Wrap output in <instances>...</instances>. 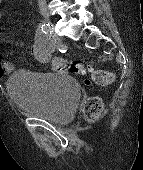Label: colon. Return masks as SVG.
<instances>
[{
  "instance_id": "1",
  "label": "colon",
  "mask_w": 143,
  "mask_h": 170,
  "mask_svg": "<svg viewBox=\"0 0 143 170\" xmlns=\"http://www.w3.org/2000/svg\"><path fill=\"white\" fill-rule=\"evenodd\" d=\"M56 67L57 70H69L74 74L88 73L89 77L86 80L87 84L108 85L111 84L114 80V77L111 73L96 70L90 64L83 65L80 63H75L68 66L63 60H58ZM102 109V100L98 97H90L84 103V118L87 121H94L100 116Z\"/></svg>"
}]
</instances>
